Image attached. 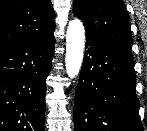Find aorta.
<instances>
[{"label": "aorta", "mask_w": 147, "mask_h": 131, "mask_svg": "<svg viewBox=\"0 0 147 131\" xmlns=\"http://www.w3.org/2000/svg\"><path fill=\"white\" fill-rule=\"evenodd\" d=\"M85 46V29L79 19L71 20L66 32L65 67L68 77L75 78L82 66Z\"/></svg>", "instance_id": "1"}]
</instances>
